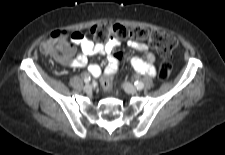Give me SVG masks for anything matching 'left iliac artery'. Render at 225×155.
I'll list each match as a JSON object with an SVG mask.
<instances>
[{"mask_svg":"<svg viewBox=\"0 0 225 155\" xmlns=\"http://www.w3.org/2000/svg\"><path fill=\"white\" fill-rule=\"evenodd\" d=\"M134 85H135V87H136L138 90H142L143 87H144L143 82H142V81H139V80H136V81L134 82Z\"/></svg>","mask_w":225,"mask_h":155,"instance_id":"44dca946","label":"left iliac artery"}]
</instances>
